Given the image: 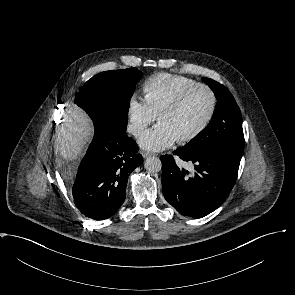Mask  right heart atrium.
Here are the masks:
<instances>
[{"label":"right heart atrium","mask_w":295,"mask_h":295,"mask_svg":"<svg viewBox=\"0 0 295 295\" xmlns=\"http://www.w3.org/2000/svg\"><path fill=\"white\" fill-rule=\"evenodd\" d=\"M127 115L128 131L134 136L141 135L157 119V114L146 99L137 96L128 100Z\"/></svg>","instance_id":"1"}]
</instances>
